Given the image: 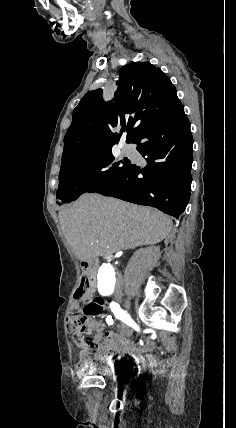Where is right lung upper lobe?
Wrapping results in <instances>:
<instances>
[{
    "label": "right lung upper lobe",
    "instance_id": "right-lung-upper-lobe-1",
    "mask_svg": "<svg viewBox=\"0 0 236 428\" xmlns=\"http://www.w3.org/2000/svg\"><path fill=\"white\" fill-rule=\"evenodd\" d=\"M181 105L170 79L149 62H131L120 70L114 99L102 100V89L86 93L73 111L64 137L61 170L72 163L118 143L115 127L127 124L126 141L147 125ZM127 121V123L125 122Z\"/></svg>",
    "mask_w": 236,
    "mask_h": 428
}]
</instances>
